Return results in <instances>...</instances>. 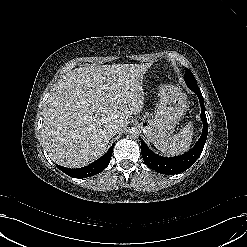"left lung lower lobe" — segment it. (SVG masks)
I'll return each mask as SVG.
<instances>
[{"mask_svg":"<svg viewBox=\"0 0 247 247\" xmlns=\"http://www.w3.org/2000/svg\"><path fill=\"white\" fill-rule=\"evenodd\" d=\"M187 86L197 94L201 105V119L203 121V132L201 137L195 144V146L184 155L166 158V157H161L155 154L154 152H152L146 146L144 141H141V153L145 164L149 168L161 174H167V175L179 174L187 170L189 167H191L198 159V157L201 155L202 150L204 148V144L207 139L208 125L205 115L203 96L197 85L187 84Z\"/></svg>","mask_w":247,"mask_h":247,"instance_id":"left-lung-lower-lobe-1","label":"left lung lower lobe"}]
</instances>
